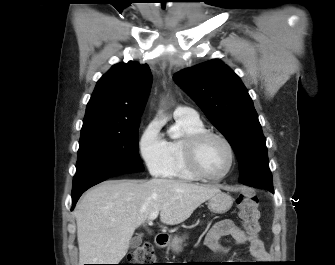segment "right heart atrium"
Wrapping results in <instances>:
<instances>
[{
  "label": "right heart atrium",
  "mask_w": 335,
  "mask_h": 265,
  "mask_svg": "<svg viewBox=\"0 0 335 265\" xmlns=\"http://www.w3.org/2000/svg\"><path fill=\"white\" fill-rule=\"evenodd\" d=\"M139 152L149 172L154 176H163L169 165V150L160 125L150 121L139 139Z\"/></svg>",
  "instance_id": "right-heart-atrium-1"
}]
</instances>
